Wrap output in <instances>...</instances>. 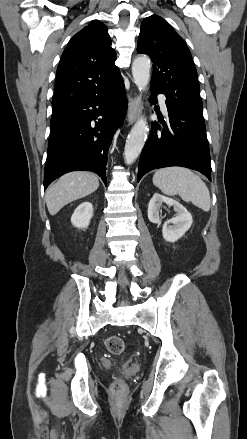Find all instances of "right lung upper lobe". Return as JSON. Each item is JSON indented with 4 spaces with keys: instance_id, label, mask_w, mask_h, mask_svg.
<instances>
[{
    "instance_id": "1",
    "label": "right lung upper lobe",
    "mask_w": 247,
    "mask_h": 439,
    "mask_svg": "<svg viewBox=\"0 0 247 439\" xmlns=\"http://www.w3.org/2000/svg\"><path fill=\"white\" fill-rule=\"evenodd\" d=\"M115 60L116 52L103 23L94 21L75 34L57 69L53 114L112 89L122 79Z\"/></svg>"
}]
</instances>
